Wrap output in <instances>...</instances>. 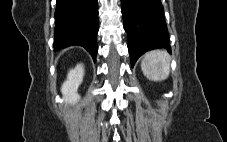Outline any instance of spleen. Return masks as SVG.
<instances>
[{
    "label": "spleen",
    "mask_w": 227,
    "mask_h": 142,
    "mask_svg": "<svg viewBox=\"0 0 227 142\" xmlns=\"http://www.w3.org/2000/svg\"><path fill=\"white\" fill-rule=\"evenodd\" d=\"M141 69L151 81L165 80L170 72V57L165 50H153L144 54Z\"/></svg>",
    "instance_id": "spleen-1"
}]
</instances>
